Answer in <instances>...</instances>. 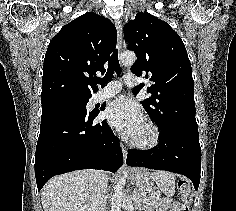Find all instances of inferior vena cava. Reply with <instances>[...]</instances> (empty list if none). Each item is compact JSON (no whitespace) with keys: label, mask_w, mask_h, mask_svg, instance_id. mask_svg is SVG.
<instances>
[{"label":"inferior vena cava","mask_w":236,"mask_h":211,"mask_svg":"<svg viewBox=\"0 0 236 211\" xmlns=\"http://www.w3.org/2000/svg\"><path fill=\"white\" fill-rule=\"evenodd\" d=\"M107 176L98 172L96 185L90 198V211H106Z\"/></svg>","instance_id":"obj_1"}]
</instances>
